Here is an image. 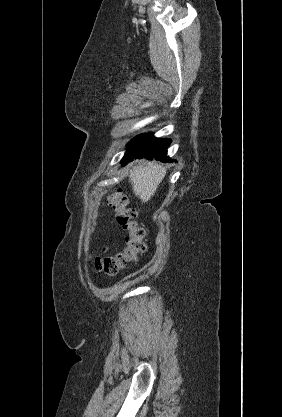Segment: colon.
<instances>
[{
	"label": "colon",
	"instance_id": "5ec220e1",
	"mask_svg": "<svg viewBox=\"0 0 282 417\" xmlns=\"http://www.w3.org/2000/svg\"><path fill=\"white\" fill-rule=\"evenodd\" d=\"M108 202L116 213L117 222L125 231L124 247L114 256L94 259L95 269L106 274H115L129 265L137 263L144 252V229L138 223L136 211L128 207V200L121 189L108 195Z\"/></svg>",
	"mask_w": 282,
	"mask_h": 417
}]
</instances>
